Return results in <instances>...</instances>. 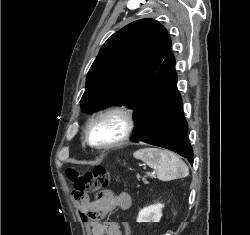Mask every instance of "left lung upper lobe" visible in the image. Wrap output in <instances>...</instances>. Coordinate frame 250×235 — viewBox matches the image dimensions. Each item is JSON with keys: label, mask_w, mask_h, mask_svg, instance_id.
<instances>
[{"label": "left lung upper lobe", "mask_w": 250, "mask_h": 235, "mask_svg": "<svg viewBox=\"0 0 250 235\" xmlns=\"http://www.w3.org/2000/svg\"><path fill=\"white\" fill-rule=\"evenodd\" d=\"M170 48L166 29L153 19L134 21L115 32L87 74L82 109L90 113L112 105L134 109Z\"/></svg>", "instance_id": "obj_1"}]
</instances>
